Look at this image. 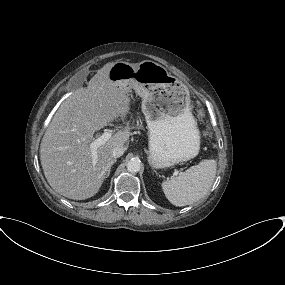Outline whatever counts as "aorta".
<instances>
[{
    "instance_id": "762f6f07",
    "label": "aorta",
    "mask_w": 285,
    "mask_h": 285,
    "mask_svg": "<svg viewBox=\"0 0 285 285\" xmlns=\"http://www.w3.org/2000/svg\"><path fill=\"white\" fill-rule=\"evenodd\" d=\"M140 168H141V163L138 159H131L127 163V170L131 173L139 172Z\"/></svg>"
}]
</instances>
